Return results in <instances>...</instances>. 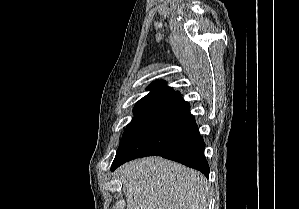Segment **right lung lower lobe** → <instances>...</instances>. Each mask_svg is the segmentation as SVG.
<instances>
[{
	"label": "right lung lower lobe",
	"mask_w": 299,
	"mask_h": 209,
	"mask_svg": "<svg viewBox=\"0 0 299 209\" xmlns=\"http://www.w3.org/2000/svg\"><path fill=\"white\" fill-rule=\"evenodd\" d=\"M201 137L190 105L176 92L158 105L147 121L116 155L111 170L145 156H162L209 176Z\"/></svg>",
	"instance_id": "1"
}]
</instances>
